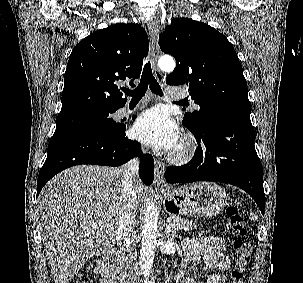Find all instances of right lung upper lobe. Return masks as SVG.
I'll return each mask as SVG.
<instances>
[{
	"label": "right lung upper lobe",
	"mask_w": 303,
	"mask_h": 283,
	"mask_svg": "<svg viewBox=\"0 0 303 283\" xmlns=\"http://www.w3.org/2000/svg\"><path fill=\"white\" fill-rule=\"evenodd\" d=\"M148 43L146 31L133 23H117L83 39L69 57L58 116L123 107L127 98H122L117 84L134 86Z\"/></svg>",
	"instance_id": "1"
}]
</instances>
